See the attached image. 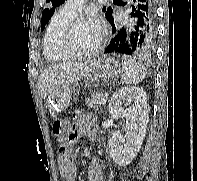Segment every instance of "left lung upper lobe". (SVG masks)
<instances>
[{
  "label": "left lung upper lobe",
  "mask_w": 197,
  "mask_h": 181,
  "mask_svg": "<svg viewBox=\"0 0 197 181\" xmlns=\"http://www.w3.org/2000/svg\"><path fill=\"white\" fill-rule=\"evenodd\" d=\"M48 3H52V6L47 7L43 10L42 13V20H41V30L44 29V26L47 24V22L50 20L52 15L54 14L55 8L60 6L65 2V0H46ZM103 11L105 12V17L107 18L108 21L112 20V8L106 9L105 7L103 8Z\"/></svg>",
  "instance_id": "left-lung-upper-lobe-1"
}]
</instances>
